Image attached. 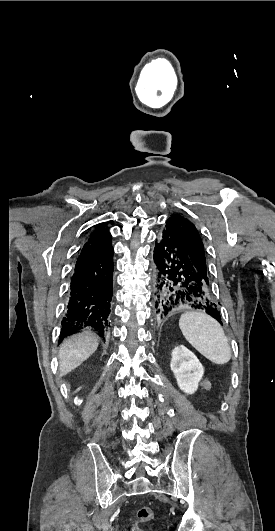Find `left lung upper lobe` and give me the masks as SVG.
<instances>
[{
    "mask_svg": "<svg viewBox=\"0 0 275 531\" xmlns=\"http://www.w3.org/2000/svg\"><path fill=\"white\" fill-rule=\"evenodd\" d=\"M167 223L170 224L176 230V232L182 239L184 245L186 246L195 267L197 268L203 279L209 282L207 276L204 246L194 224L191 223L187 218H184L179 214L171 215V218L167 220Z\"/></svg>",
    "mask_w": 275,
    "mask_h": 531,
    "instance_id": "left-lung-upper-lobe-1",
    "label": "left lung upper lobe"
}]
</instances>
